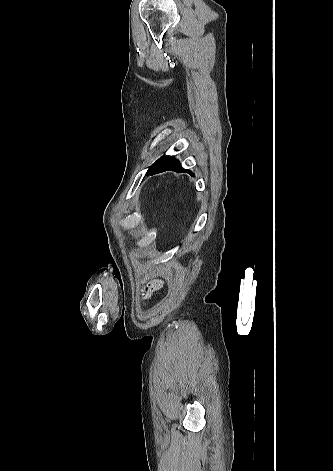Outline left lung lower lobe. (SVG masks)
<instances>
[{"label":"left lung lower lobe","mask_w":333,"mask_h":471,"mask_svg":"<svg viewBox=\"0 0 333 471\" xmlns=\"http://www.w3.org/2000/svg\"><path fill=\"white\" fill-rule=\"evenodd\" d=\"M168 170H171V171H175V172H178V173H181V172H187L189 173L190 175L193 176V173L190 171V170H186L184 169L181 164L179 163L178 160L172 158L168 164Z\"/></svg>","instance_id":"0a47b994"}]
</instances>
